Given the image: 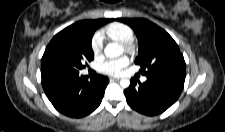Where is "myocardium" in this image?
Segmentation results:
<instances>
[{
  "label": "myocardium",
  "mask_w": 225,
  "mask_h": 132,
  "mask_svg": "<svg viewBox=\"0 0 225 132\" xmlns=\"http://www.w3.org/2000/svg\"><path fill=\"white\" fill-rule=\"evenodd\" d=\"M122 47L126 52L132 53L134 51V45L132 41L122 43Z\"/></svg>",
  "instance_id": "f54148a6"
}]
</instances>
